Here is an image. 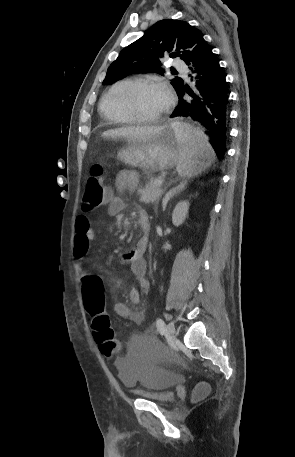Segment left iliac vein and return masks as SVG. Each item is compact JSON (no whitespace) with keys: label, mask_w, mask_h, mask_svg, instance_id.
I'll return each instance as SVG.
<instances>
[{"label":"left iliac vein","mask_w":295,"mask_h":457,"mask_svg":"<svg viewBox=\"0 0 295 457\" xmlns=\"http://www.w3.org/2000/svg\"><path fill=\"white\" fill-rule=\"evenodd\" d=\"M168 336L172 339L175 335V326L173 322H169L166 326Z\"/></svg>","instance_id":"left-iliac-vein-1"}]
</instances>
